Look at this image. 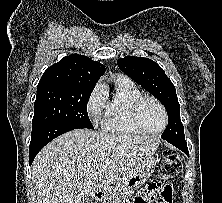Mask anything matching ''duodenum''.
<instances>
[{
	"mask_svg": "<svg viewBox=\"0 0 222 203\" xmlns=\"http://www.w3.org/2000/svg\"><path fill=\"white\" fill-rule=\"evenodd\" d=\"M106 197V191L104 189H99L94 193V199L101 203Z\"/></svg>",
	"mask_w": 222,
	"mask_h": 203,
	"instance_id": "410a0bca",
	"label": "duodenum"
}]
</instances>
